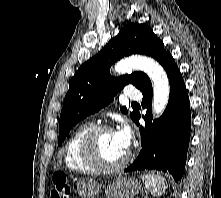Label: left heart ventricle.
<instances>
[{
  "instance_id": "b2bd125f",
  "label": "left heart ventricle",
  "mask_w": 221,
  "mask_h": 198,
  "mask_svg": "<svg viewBox=\"0 0 221 198\" xmlns=\"http://www.w3.org/2000/svg\"><path fill=\"white\" fill-rule=\"evenodd\" d=\"M98 151L101 159L108 164L121 161L127 153L115 137L114 131H107L100 135L98 140Z\"/></svg>"
}]
</instances>
